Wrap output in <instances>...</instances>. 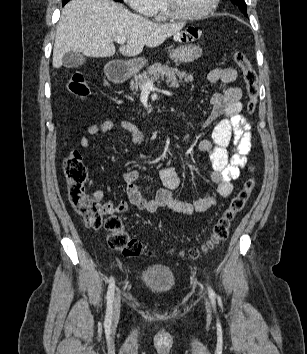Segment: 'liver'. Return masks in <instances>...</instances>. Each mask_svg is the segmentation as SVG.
<instances>
[{"label": "liver", "instance_id": "liver-1", "mask_svg": "<svg viewBox=\"0 0 307 354\" xmlns=\"http://www.w3.org/2000/svg\"><path fill=\"white\" fill-rule=\"evenodd\" d=\"M184 25L154 23L112 0H71L62 9L57 26L53 67H61L63 56L68 52L111 57L115 54L113 41L117 37L127 40V44L119 48L122 55L137 56L144 46L161 45Z\"/></svg>", "mask_w": 307, "mask_h": 354}]
</instances>
